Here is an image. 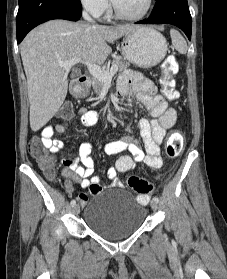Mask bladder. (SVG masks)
I'll return each mask as SVG.
<instances>
[{
	"instance_id": "obj_1",
	"label": "bladder",
	"mask_w": 227,
	"mask_h": 279,
	"mask_svg": "<svg viewBox=\"0 0 227 279\" xmlns=\"http://www.w3.org/2000/svg\"><path fill=\"white\" fill-rule=\"evenodd\" d=\"M94 197L86 207L84 222L98 236L119 240L133 234L143 224L147 211L128 190L117 189L113 195L104 191Z\"/></svg>"
}]
</instances>
